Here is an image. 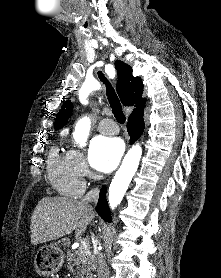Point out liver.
I'll return each instance as SVG.
<instances>
[{
	"mask_svg": "<svg viewBox=\"0 0 221 278\" xmlns=\"http://www.w3.org/2000/svg\"><path fill=\"white\" fill-rule=\"evenodd\" d=\"M94 217L83 201L60 196L43 197L31 217V243L38 245L70 234L82 235Z\"/></svg>",
	"mask_w": 221,
	"mask_h": 278,
	"instance_id": "liver-1",
	"label": "liver"
}]
</instances>
